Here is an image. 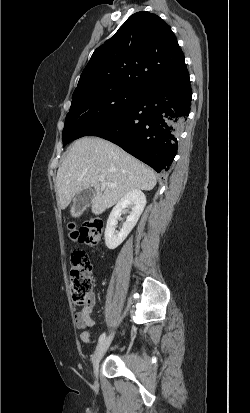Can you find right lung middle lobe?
Returning a JSON list of instances; mask_svg holds the SVG:
<instances>
[{
	"mask_svg": "<svg viewBox=\"0 0 250 413\" xmlns=\"http://www.w3.org/2000/svg\"><path fill=\"white\" fill-rule=\"evenodd\" d=\"M139 92L131 87H113L74 93L62 132L63 147L116 117L134 101Z\"/></svg>",
	"mask_w": 250,
	"mask_h": 413,
	"instance_id": "dd1d6c3e",
	"label": "right lung middle lobe"
}]
</instances>
